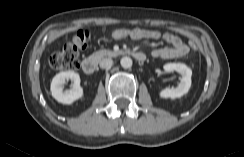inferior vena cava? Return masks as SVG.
<instances>
[{
	"label": "inferior vena cava",
	"instance_id": "1",
	"mask_svg": "<svg viewBox=\"0 0 244 157\" xmlns=\"http://www.w3.org/2000/svg\"><path fill=\"white\" fill-rule=\"evenodd\" d=\"M112 64H113V61L111 58H104L99 63L100 68H102V69L110 68L112 66Z\"/></svg>",
	"mask_w": 244,
	"mask_h": 157
}]
</instances>
